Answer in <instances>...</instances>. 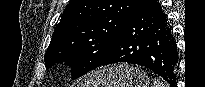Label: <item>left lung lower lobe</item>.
<instances>
[{"label": "left lung lower lobe", "instance_id": "0a47b994", "mask_svg": "<svg viewBox=\"0 0 205 87\" xmlns=\"http://www.w3.org/2000/svg\"><path fill=\"white\" fill-rule=\"evenodd\" d=\"M177 61L176 44L161 4L136 0L100 66L120 62L142 65L174 87Z\"/></svg>", "mask_w": 205, "mask_h": 87}]
</instances>
